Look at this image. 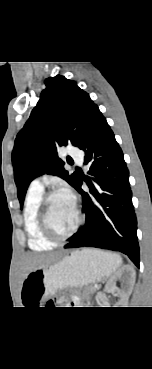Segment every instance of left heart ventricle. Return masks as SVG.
<instances>
[{"label": "left heart ventricle", "mask_w": 152, "mask_h": 369, "mask_svg": "<svg viewBox=\"0 0 152 369\" xmlns=\"http://www.w3.org/2000/svg\"><path fill=\"white\" fill-rule=\"evenodd\" d=\"M49 220L57 234L64 235L71 231L76 223L77 214L74 203L69 196L58 194L51 199Z\"/></svg>", "instance_id": "left-heart-ventricle-1"}]
</instances>
